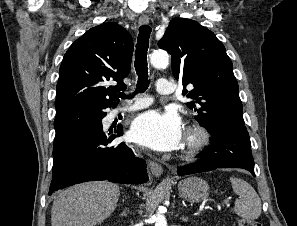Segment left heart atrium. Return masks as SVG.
Returning <instances> with one entry per match:
<instances>
[{"mask_svg": "<svg viewBox=\"0 0 297 226\" xmlns=\"http://www.w3.org/2000/svg\"><path fill=\"white\" fill-rule=\"evenodd\" d=\"M130 135L133 141L153 150L171 151L181 146L184 129L176 114L148 111L133 121Z\"/></svg>", "mask_w": 297, "mask_h": 226, "instance_id": "1", "label": "left heart atrium"}]
</instances>
